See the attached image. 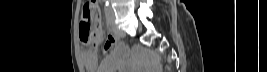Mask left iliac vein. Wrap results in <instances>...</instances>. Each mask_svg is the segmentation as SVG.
I'll list each match as a JSON object with an SVG mask.
<instances>
[{
    "mask_svg": "<svg viewBox=\"0 0 267 72\" xmlns=\"http://www.w3.org/2000/svg\"><path fill=\"white\" fill-rule=\"evenodd\" d=\"M109 24H110V27L112 29V31L119 37H124L125 36V33L123 30L119 29L117 27V25L115 24V15H114V12L112 10V8L110 7V15H109Z\"/></svg>",
    "mask_w": 267,
    "mask_h": 72,
    "instance_id": "1",
    "label": "left iliac vein"
}]
</instances>
